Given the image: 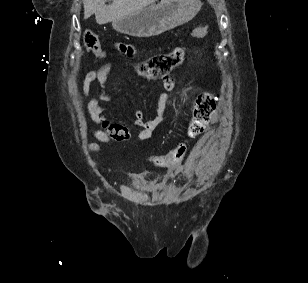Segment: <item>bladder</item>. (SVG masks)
<instances>
[{
    "label": "bladder",
    "instance_id": "1",
    "mask_svg": "<svg viewBox=\"0 0 308 283\" xmlns=\"http://www.w3.org/2000/svg\"><path fill=\"white\" fill-rule=\"evenodd\" d=\"M132 184H133V185H136L137 183H136V182H133Z\"/></svg>",
    "mask_w": 308,
    "mask_h": 283
}]
</instances>
